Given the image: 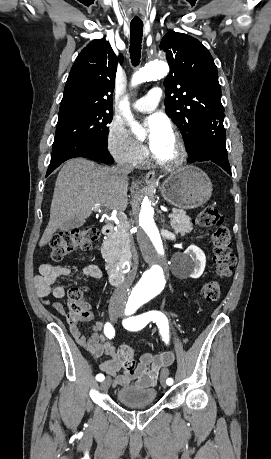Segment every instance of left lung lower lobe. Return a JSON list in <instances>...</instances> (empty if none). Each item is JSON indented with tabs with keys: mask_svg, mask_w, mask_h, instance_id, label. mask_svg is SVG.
Instances as JSON below:
<instances>
[{
	"mask_svg": "<svg viewBox=\"0 0 271 459\" xmlns=\"http://www.w3.org/2000/svg\"><path fill=\"white\" fill-rule=\"evenodd\" d=\"M199 150L189 157V162L212 161L231 175V167L226 150V130L223 120L203 129L198 134Z\"/></svg>",
	"mask_w": 271,
	"mask_h": 459,
	"instance_id": "left-lung-lower-lobe-1",
	"label": "left lung lower lobe"
}]
</instances>
